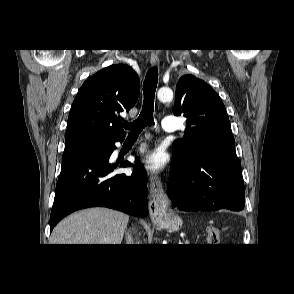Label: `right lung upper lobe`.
<instances>
[{"instance_id":"cb5924a9","label":"right lung upper lobe","mask_w":294,"mask_h":294,"mask_svg":"<svg viewBox=\"0 0 294 294\" xmlns=\"http://www.w3.org/2000/svg\"><path fill=\"white\" fill-rule=\"evenodd\" d=\"M140 82L128 65H111L89 77L75 97L67 122L65 143L82 140L110 142L125 137L121 112H129Z\"/></svg>"}]
</instances>
